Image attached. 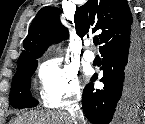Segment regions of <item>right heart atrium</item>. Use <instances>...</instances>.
I'll return each instance as SVG.
<instances>
[{"mask_svg": "<svg viewBox=\"0 0 145 124\" xmlns=\"http://www.w3.org/2000/svg\"><path fill=\"white\" fill-rule=\"evenodd\" d=\"M41 98L52 107L69 104L80 96L81 87L75 70L56 59L42 63L38 69Z\"/></svg>", "mask_w": 145, "mask_h": 124, "instance_id": "obj_1", "label": "right heart atrium"}]
</instances>
